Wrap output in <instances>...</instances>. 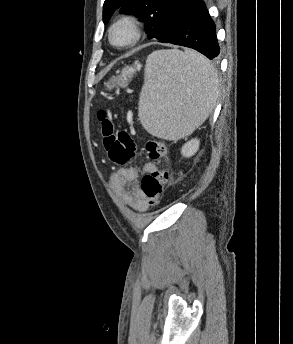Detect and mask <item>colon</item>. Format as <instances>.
Here are the masks:
<instances>
[{
	"label": "colon",
	"instance_id": "obj_1",
	"mask_svg": "<svg viewBox=\"0 0 293 344\" xmlns=\"http://www.w3.org/2000/svg\"><path fill=\"white\" fill-rule=\"evenodd\" d=\"M98 118L101 123L103 146L109 160L119 166L127 164L135 154L136 143L127 131L117 130L114 121L109 118L105 110L98 111ZM145 150L156 165H160L167 155L165 143L156 139L148 140ZM169 179V171L164 167H157L154 171L144 175L140 188L149 206L153 207L159 204L164 186Z\"/></svg>",
	"mask_w": 293,
	"mask_h": 344
}]
</instances>
